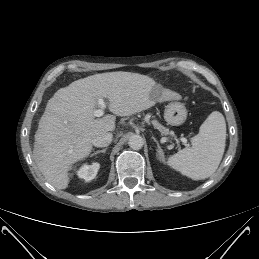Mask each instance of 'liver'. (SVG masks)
Here are the masks:
<instances>
[{"mask_svg": "<svg viewBox=\"0 0 259 259\" xmlns=\"http://www.w3.org/2000/svg\"><path fill=\"white\" fill-rule=\"evenodd\" d=\"M155 87L146 75L118 71L88 76L59 89L48 101L35 134L34 160L47 182L58 190L67 188L68 171L90 154L92 140L114 131V115L130 116L156 101L181 99L176 92H158ZM100 98L108 100L114 115L95 118Z\"/></svg>", "mask_w": 259, "mask_h": 259, "instance_id": "6515ba94", "label": "liver"}]
</instances>
